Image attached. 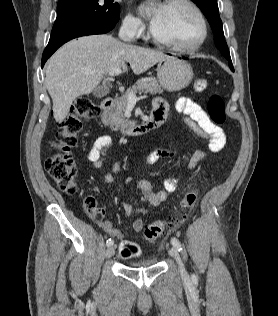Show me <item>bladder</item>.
<instances>
[{
    "instance_id": "bladder-1",
    "label": "bladder",
    "mask_w": 278,
    "mask_h": 316,
    "mask_svg": "<svg viewBox=\"0 0 278 316\" xmlns=\"http://www.w3.org/2000/svg\"><path fill=\"white\" fill-rule=\"evenodd\" d=\"M158 263L157 259L155 258H148L142 260H136L128 263V266L134 269H145L156 266Z\"/></svg>"
}]
</instances>
